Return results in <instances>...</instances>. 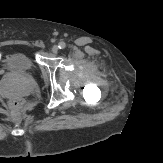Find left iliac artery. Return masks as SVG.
Wrapping results in <instances>:
<instances>
[{
    "label": "left iliac artery",
    "instance_id": "44dca946",
    "mask_svg": "<svg viewBox=\"0 0 163 163\" xmlns=\"http://www.w3.org/2000/svg\"><path fill=\"white\" fill-rule=\"evenodd\" d=\"M59 49H64L66 47V44L64 42H60L58 44Z\"/></svg>",
    "mask_w": 163,
    "mask_h": 163
}]
</instances>
